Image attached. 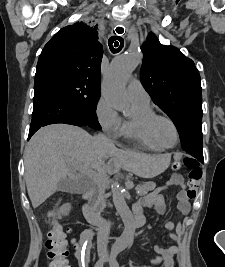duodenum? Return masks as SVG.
<instances>
[{
    "label": "duodenum",
    "instance_id": "410a0bca",
    "mask_svg": "<svg viewBox=\"0 0 225 267\" xmlns=\"http://www.w3.org/2000/svg\"><path fill=\"white\" fill-rule=\"evenodd\" d=\"M83 212L85 218L88 221L97 224L101 228L109 227V222L96 211L95 207L92 204L85 203L83 207ZM134 212H135V217L133 219H128L126 221V227L128 229L139 228L143 225L144 222L143 217L137 214L135 208Z\"/></svg>",
    "mask_w": 225,
    "mask_h": 267
}]
</instances>
